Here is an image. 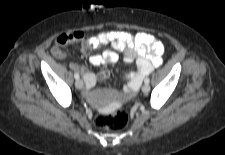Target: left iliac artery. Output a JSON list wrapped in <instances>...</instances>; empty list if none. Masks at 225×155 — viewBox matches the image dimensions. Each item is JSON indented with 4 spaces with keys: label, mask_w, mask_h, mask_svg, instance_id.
Returning <instances> with one entry per match:
<instances>
[{
    "label": "left iliac artery",
    "mask_w": 225,
    "mask_h": 155,
    "mask_svg": "<svg viewBox=\"0 0 225 155\" xmlns=\"http://www.w3.org/2000/svg\"><path fill=\"white\" fill-rule=\"evenodd\" d=\"M144 82H145L146 84H148V83L150 82V79L147 77V78H145Z\"/></svg>",
    "instance_id": "1"
}]
</instances>
